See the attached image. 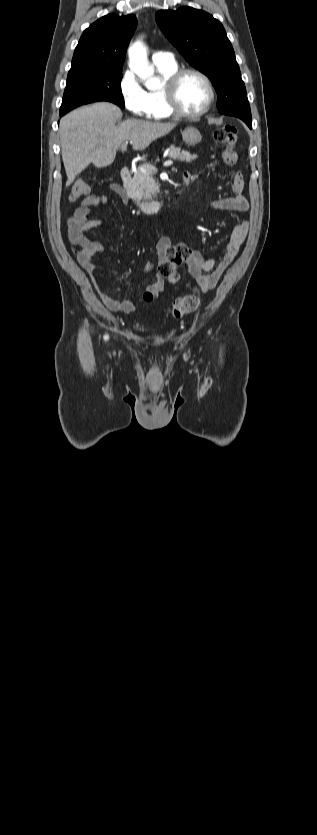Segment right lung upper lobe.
Wrapping results in <instances>:
<instances>
[{"mask_svg":"<svg viewBox=\"0 0 317 835\" xmlns=\"http://www.w3.org/2000/svg\"><path fill=\"white\" fill-rule=\"evenodd\" d=\"M137 25L134 15H106L82 34L75 48L72 68L108 67L122 69L126 49Z\"/></svg>","mask_w":317,"mask_h":835,"instance_id":"cb5924a9","label":"right lung upper lobe"}]
</instances>
